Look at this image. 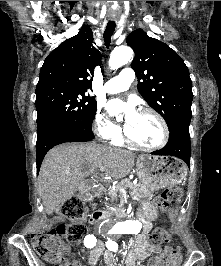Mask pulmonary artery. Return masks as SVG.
Returning a JSON list of instances; mask_svg holds the SVG:
<instances>
[{"label": "pulmonary artery", "mask_w": 221, "mask_h": 266, "mask_svg": "<svg viewBox=\"0 0 221 266\" xmlns=\"http://www.w3.org/2000/svg\"><path fill=\"white\" fill-rule=\"evenodd\" d=\"M134 74L130 68H124L118 76L108 80L104 85L105 92L109 94L123 92L129 89Z\"/></svg>", "instance_id": "obj_1"}]
</instances>
